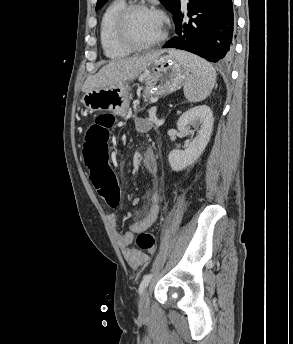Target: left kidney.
<instances>
[{
    "mask_svg": "<svg viewBox=\"0 0 293 344\" xmlns=\"http://www.w3.org/2000/svg\"><path fill=\"white\" fill-rule=\"evenodd\" d=\"M213 114L206 105H199L185 111L177 121V128L185 135L189 127L197 128V135L191 139L185 150H172L168 155L170 167L174 171H182L195 163L205 150L212 133Z\"/></svg>",
    "mask_w": 293,
    "mask_h": 344,
    "instance_id": "1",
    "label": "left kidney"
}]
</instances>
